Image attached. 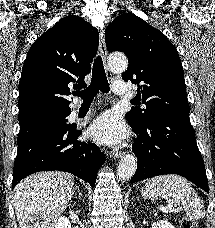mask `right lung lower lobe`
Here are the masks:
<instances>
[{
	"mask_svg": "<svg viewBox=\"0 0 215 228\" xmlns=\"http://www.w3.org/2000/svg\"><path fill=\"white\" fill-rule=\"evenodd\" d=\"M75 125L54 127L18 140L12 189L26 176L39 171H65L95 186L104 154L94 143L78 141Z\"/></svg>",
	"mask_w": 215,
	"mask_h": 228,
	"instance_id": "98d812e1",
	"label": "right lung lower lobe"
}]
</instances>
